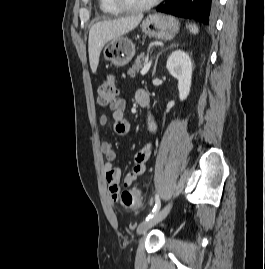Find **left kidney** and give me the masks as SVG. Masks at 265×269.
I'll list each match as a JSON object with an SVG mask.
<instances>
[{
    "mask_svg": "<svg viewBox=\"0 0 265 269\" xmlns=\"http://www.w3.org/2000/svg\"><path fill=\"white\" fill-rule=\"evenodd\" d=\"M169 73L178 80L179 98L185 100L191 88L193 65L187 53L175 50L167 59Z\"/></svg>",
    "mask_w": 265,
    "mask_h": 269,
    "instance_id": "obj_1",
    "label": "left kidney"
}]
</instances>
